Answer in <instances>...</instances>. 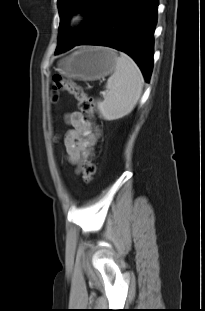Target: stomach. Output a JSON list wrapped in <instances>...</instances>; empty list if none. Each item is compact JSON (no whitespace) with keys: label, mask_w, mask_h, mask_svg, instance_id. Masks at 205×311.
I'll list each match as a JSON object with an SVG mask.
<instances>
[{"label":"stomach","mask_w":205,"mask_h":311,"mask_svg":"<svg viewBox=\"0 0 205 311\" xmlns=\"http://www.w3.org/2000/svg\"><path fill=\"white\" fill-rule=\"evenodd\" d=\"M117 53L107 47H87L61 59L57 71L65 77L93 81L115 71Z\"/></svg>","instance_id":"obj_1"}]
</instances>
